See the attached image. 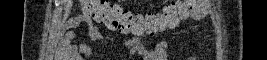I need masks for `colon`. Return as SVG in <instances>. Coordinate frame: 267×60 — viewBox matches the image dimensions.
Returning <instances> with one entry per match:
<instances>
[{
	"label": "colon",
	"mask_w": 267,
	"mask_h": 60,
	"mask_svg": "<svg viewBox=\"0 0 267 60\" xmlns=\"http://www.w3.org/2000/svg\"><path fill=\"white\" fill-rule=\"evenodd\" d=\"M187 0L176 1L157 14H133L103 0H82V14L122 33L154 35L176 26L182 19Z\"/></svg>",
	"instance_id": "obj_1"
}]
</instances>
